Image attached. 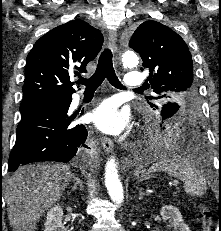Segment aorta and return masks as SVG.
<instances>
[{
  "instance_id": "1",
  "label": "aorta",
  "mask_w": 221,
  "mask_h": 231,
  "mask_svg": "<svg viewBox=\"0 0 221 231\" xmlns=\"http://www.w3.org/2000/svg\"><path fill=\"white\" fill-rule=\"evenodd\" d=\"M122 64L126 68H134L139 63V58L132 50H125L122 53ZM105 185L108 194L113 202L121 204L124 199L122 183L118 176L117 164L114 157H111L106 163Z\"/></svg>"
}]
</instances>
